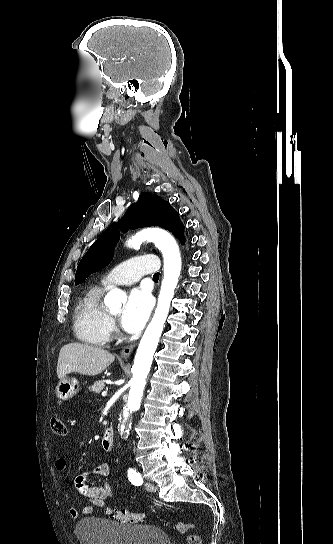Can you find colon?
<instances>
[{
  "instance_id": "1",
  "label": "colon",
  "mask_w": 333,
  "mask_h": 544,
  "mask_svg": "<svg viewBox=\"0 0 333 544\" xmlns=\"http://www.w3.org/2000/svg\"><path fill=\"white\" fill-rule=\"evenodd\" d=\"M52 432L57 436H66L67 428L61 418L53 417L50 421ZM108 513L114 519L130 524H140L143 522V514L131 512L128 510H112L108 509ZM196 525L189 522H178L174 525V529L179 533H186L191 529H195ZM187 544H202L200 537L196 533H189L186 538Z\"/></svg>"
}]
</instances>
